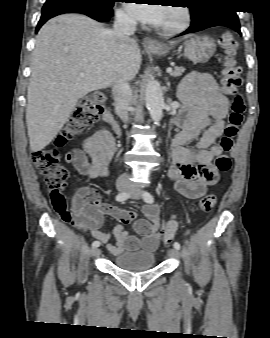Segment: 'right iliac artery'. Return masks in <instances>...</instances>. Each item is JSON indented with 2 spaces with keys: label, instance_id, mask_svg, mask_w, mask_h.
<instances>
[{
  "label": "right iliac artery",
  "instance_id": "obj_1",
  "mask_svg": "<svg viewBox=\"0 0 270 338\" xmlns=\"http://www.w3.org/2000/svg\"><path fill=\"white\" fill-rule=\"evenodd\" d=\"M129 197H130V193L122 192V193H119V194L116 196V200L119 201V202H122V201L127 200ZM92 246H93V247H99V246H100V242L96 240V241H94V242L92 243Z\"/></svg>",
  "mask_w": 270,
  "mask_h": 338
}]
</instances>
